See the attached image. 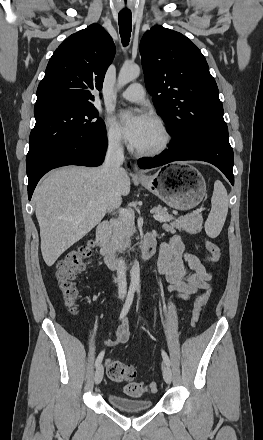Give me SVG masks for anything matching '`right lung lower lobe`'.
I'll use <instances>...</instances> for the list:
<instances>
[{
	"mask_svg": "<svg viewBox=\"0 0 263 440\" xmlns=\"http://www.w3.org/2000/svg\"><path fill=\"white\" fill-rule=\"evenodd\" d=\"M107 146L106 133L98 138L83 139L76 142H64L58 144L39 157L26 163L28 176V198L32 197L33 191L41 179L51 169L66 166H99L104 159Z\"/></svg>",
	"mask_w": 263,
	"mask_h": 440,
	"instance_id": "98d812e1",
	"label": "right lung lower lobe"
}]
</instances>
